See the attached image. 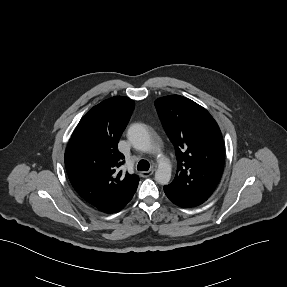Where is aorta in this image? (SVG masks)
Returning a JSON list of instances; mask_svg holds the SVG:
<instances>
[{"instance_id": "1", "label": "aorta", "mask_w": 287, "mask_h": 287, "mask_svg": "<svg viewBox=\"0 0 287 287\" xmlns=\"http://www.w3.org/2000/svg\"><path fill=\"white\" fill-rule=\"evenodd\" d=\"M127 137L135 149L142 152H150L152 150L150 135L143 124H132L128 129ZM170 179V164L160 161L155 172V180L161 185H167Z\"/></svg>"}]
</instances>
